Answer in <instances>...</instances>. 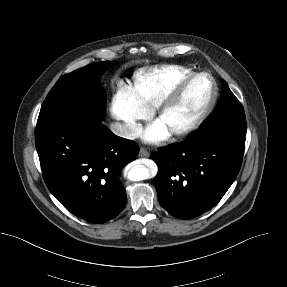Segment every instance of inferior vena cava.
Returning <instances> with one entry per match:
<instances>
[{"label":"inferior vena cava","instance_id":"602c4592","mask_svg":"<svg viewBox=\"0 0 287 287\" xmlns=\"http://www.w3.org/2000/svg\"><path fill=\"white\" fill-rule=\"evenodd\" d=\"M111 131L126 139H135L139 134L136 125L132 123H113L111 124Z\"/></svg>","mask_w":287,"mask_h":287}]
</instances>
